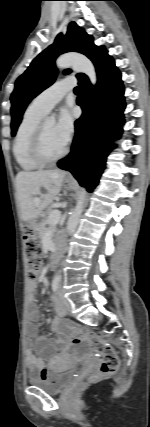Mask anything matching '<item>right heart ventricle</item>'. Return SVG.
Wrapping results in <instances>:
<instances>
[{
  "label": "right heart ventricle",
  "mask_w": 150,
  "mask_h": 427,
  "mask_svg": "<svg viewBox=\"0 0 150 427\" xmlns=\"http://www.w3.org/2000/svg\"><path fill=\"white\" fill-rule=\"evenodd\" d=\"M43 117V113L29 106L17 128L13 141V154L23 171H35L42 167L31 157V144L35 130Z\"/></svg>",
  "instance_id": "e07e8e85"
}]
</instances>
